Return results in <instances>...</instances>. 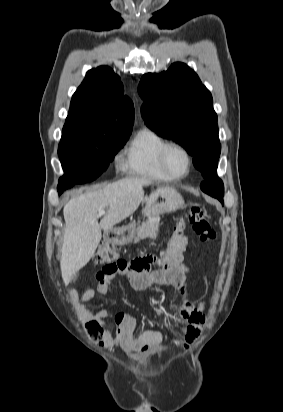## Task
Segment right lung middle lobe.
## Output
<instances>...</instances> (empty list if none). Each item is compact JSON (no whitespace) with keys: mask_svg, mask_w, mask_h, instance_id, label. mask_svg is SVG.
I'll use <instances>...</instances> for the list:
<instances>
[{"mask_svg":"<svg viewBox=\"0 0 283 412\" xmlns=\"http://www.w3.org/2000/svg\"><path fill=\"white\" fill-rule=\"evenodd\" d=\"M131 132L96 135L66 121L58 147L65 172L60 183L82 184L96 179L123 147Z\"/></svg>","mask_w":283,"mask_h":412,"instance_id":"1","label":"right lung middle lobe"}]
</instances>
